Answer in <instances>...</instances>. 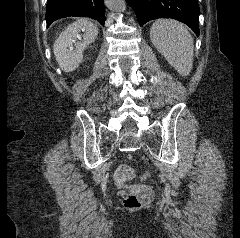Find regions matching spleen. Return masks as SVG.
Instances as JSON below:
<instances>
[{"label": "spleen", "mask_w": 240, "mask_h": 238, "mask_svg": "<svg viewBox=\"0 0 240 238\" xmlns=\"http://www.w3.org/2000/svg\"><path fill=\"white\" fill-rule=\"evenodd\" d=\"M150 38L156 49L179 74L187 76L191 72L194 44L183 24L174 20H157L150 29Z\"/></svg>", "instance_id": "obj_1"}]
</instances>
